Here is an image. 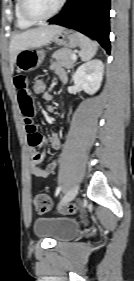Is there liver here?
I'll return each mask as SVG.
<instances>
[{"instance_id":"1","label":"liver","mask_w":134,"mask_h":281,"mask_svg":"<svg viewBox=\"0 0 134 281\" xmlns=\"http://www.w3.org/2000/svg\"><path fill=\"white\" fill-rule=\"evenodd\" d=\"M62 30L58 25L40 26L35 29L16 34L12 37L9 54L10 70L13 72L16 55L26 49H36L50 43L53 37Z\"/></svg>"}]
</instances>
